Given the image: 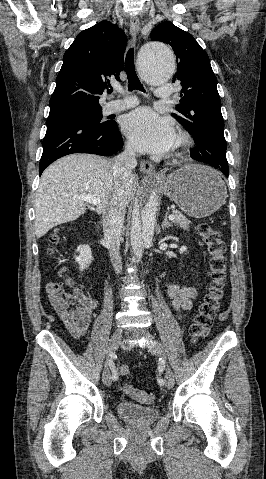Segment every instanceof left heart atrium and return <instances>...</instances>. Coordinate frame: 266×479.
<instances>
[{
  "mask_svg": "<svg viewBox=\"0 0 266 479\" xmlns=\"http://www.w3.org/2000/svg\"><path fill=\"white\" fill-rule=\"evenodd\" d=\"M122 127L131 142L142 151L164 154L175 141L172 123L147 107L127 114Z\"/></svg>",
  "mask_w": 266,
  "mask_h": 479,
  "instance_id": "1",
  "label": "left heart atrium"
}]
</instances>
